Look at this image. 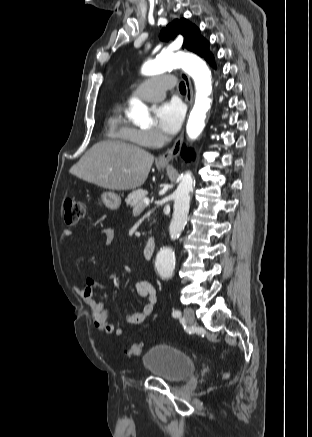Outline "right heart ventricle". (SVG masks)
Returning a JSON list of instances; mask_svg holds the SVG:
<instances>
[{
  "instance_id": "1",
  "label": "right heart ventricle",
  "mask_w": 312,
  "mask_h": 437,
  "mask_svg": "<svg viewBox=\"0 0 312 437\" xmlns=\"http://www.w3.org/2000/svg\"><path fill=\"white\" fill-rule=\"evenodd\" d=\"M108 136L120 143L143 145L136 130L123 116L121 107L117 106L107 120Z\"/></svg>"
}]
</instances>
